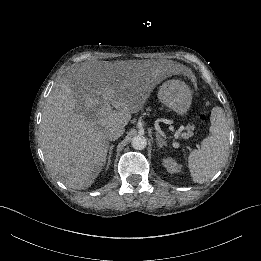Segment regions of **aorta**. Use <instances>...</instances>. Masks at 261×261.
<instances>
[{"label":"aorta","mask_w":261,"mask_h":261,"mask_svg":"<svg viewBox=\"0 0 261 261\" xmlns=\"http://www.w3.org/2000/svg\"><path fill=\"white\" fill-rule=\"evenodd\" d=\"M131 145L135 150H143L147 146V139L143 135H136L132 138Z\"/></svg>","instance_id":"obj_1"}]
</instances>
